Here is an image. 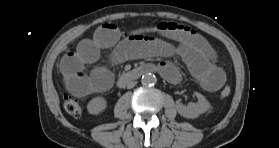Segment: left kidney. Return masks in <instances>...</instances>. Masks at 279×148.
Returning <instances> with one entry per match:
<instances>
[{"label": "left kidney", "mask_w": 279, "mask_h": 148, "mask_svg": "<svg viewBox=\"0 0 279 148\" xmlns=\"http://www.w3.org/2000/svg\"><path fill=\"white\" fill-rule=\"evenodd\" d=\"M195 95L198 99V102L196 103L190 102L188 105H183L180 101L176 102V109L184 118H197L200 114L207 112L210 107V104L205 96L199 92H195Z\"/></svg>", "instance_id": "5707ae66"}]
</instances>
